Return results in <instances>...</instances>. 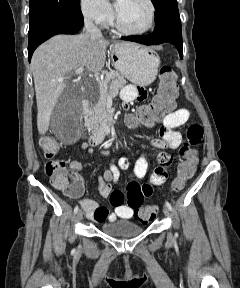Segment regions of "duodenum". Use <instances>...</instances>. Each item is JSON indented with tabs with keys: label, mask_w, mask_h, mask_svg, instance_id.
Instances as JSON below:
<instances>
[{
	"label": "duodenum",
	"mask_w": 240,
	"mask_h": 288,
	"mask_svg": "<svg viewBox=\"0 0 240 288\" xmlns=\"http://www.w3.org/2000/svg\"><path fill=\"white\" fill-rule=\"evenodd\" d=\"M83 111L87 117L89 126L95 127L96 131L94 132L91 142L97 144L101 142L106 134L109 133L110 127L115 121V114L113 111H105L99 115H93L89 111V105L87 101H83Z\"/></svg>",
	"instance_id": "410a0bca"
}]
</instances>
